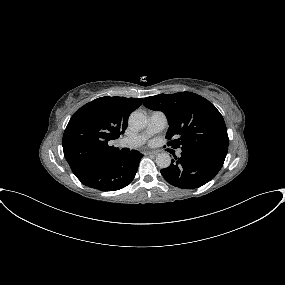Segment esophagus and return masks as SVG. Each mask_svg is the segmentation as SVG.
Listing matches in <instances>:
<instances>
[{
	"label": "esophagus",
	"mask_w": 285,
	"mask_h": 285,
	"mask_svg": "<svg viewBox=\"0 0 285 285\" xmlns=\"http://www.w3.org/2000/svg\"><path fill=\"white\" fill-rule=\"evenodd\" d=\"M146 154H147V155L156 156V155H157V152H155V151H148Z\"/></svg>",
	"instance_id": "1"
}]
</instances>
